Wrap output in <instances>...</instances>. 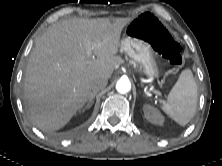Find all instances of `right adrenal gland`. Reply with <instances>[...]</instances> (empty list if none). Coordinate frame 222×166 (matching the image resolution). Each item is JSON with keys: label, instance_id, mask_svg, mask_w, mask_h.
I'll return each instance as SVG.
<instances>
[{"label": "right adrenal gland", "instance_id": "1", "mask_svg": "<svg viewBox=\"0 0 222 166\" xmlns=\"http://www.w3.org/2000/svg\"><path fill=\"white\" fill-rule=\"evenodd\" d=\"M94 98H95V94H92V95L89 97V99H88V101H87V104H86V105L83 107V109L81 110L82 112H84L86 109H88V108H90V107L92 106Z\"/></svg>", "mask_w": 222, "mask_h": 166}]
</instances>
